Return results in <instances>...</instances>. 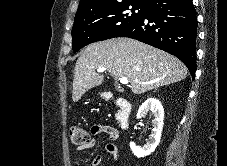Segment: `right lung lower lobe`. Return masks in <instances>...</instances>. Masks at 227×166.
<instances>
[{
	"mask_svg": "<svg viewBox=\"0 0 227 166\" xmlns=\"http://www.w3.org/2000/svg\"><path fill=\"white\" fill-rule=\"evenodd\" d=\"M197 18L192 0H152L144 16L117 37H129L179 58L195 77Z\"/></svg>",
	"mask_w": 227,
	"mask_h": 166,
	"instance_id": "right-lung-lower-lobe-1",
	"label": "right lung lower lobe"
}]
</instances>
